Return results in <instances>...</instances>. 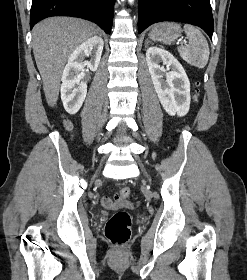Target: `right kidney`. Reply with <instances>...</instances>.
Wrapping results in <instances>:
<instances>
[{
    "mask_svg": "<svg viewBox=\"0 0 247 280\" xmlns=\"http://www.w3.org/2000/svg\"><path fill=\"white\" fill-rule=\"evenodd\" d=\"M103 46L102 38L93 36L75 48L69 56L68 63L63 70L61 84V100L68 113L75 114L81 108L87 95L86 82L80 83L82 80L81 72L85 66L91 71L97 70ZM86 56H90L91 60L84 62Z\"/></svg>",
    "mask_w": 247,
    "mask_h": 280,
    "instance_id": "obj_1",
    "label": "right kidney"
}]
</instances>
